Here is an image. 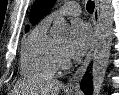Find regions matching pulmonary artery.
Instances as JSON below:
<instances>
[{"mask_svg":"<svg viewBox=\"0 0 119 95\" xmlns=\"http://www.w3.org/2000/svg\"><path fill=\"white\" fill-rule=\"evenodd\" d=\"M80 12H81L80 5L75 1H70L66 3L65 5H63L61 8H59L58 10L52 12L48 16V18L54 19L59 16H67V15L76 16V15H79Z\"/></svg>","mask_w":119,"mask_h":95,"instance_id":"1","label":"pulmonary artery"}]
</instances>
